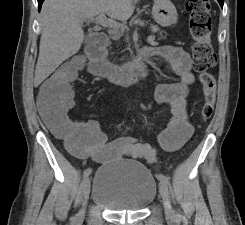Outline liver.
Segmentation results:
<instances>
[{
    "label": "liver",
    "mask_w": 245,
    "mask_h": 225,
    "mask_svg": "<svg viewBox=\"0 0 245 225\" xmlns=\"http://www.w3.org/2000/svg\"><path fill=\"white\" fill-rule=\"evenodd\" d=\"M139 0H45L40 12L41 38L34 82L39 85L83 43L82 23L99 14L128 20Z\"/></svg>",
    "instance_id": "6515ba94"
}]
</instances>
